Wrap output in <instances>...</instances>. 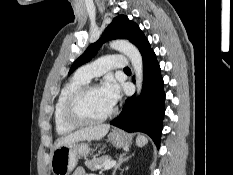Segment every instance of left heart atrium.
Returning a JSON list of instances; mask_svg holds the SVG:
<instances>
[{"mask_svg":"<svg viewBox=\"0 0 233 175\" xmlns=\"http://www.w3.org/2000/svg\"><path fill=\"white\" fill-rule=\"evenodd\" d=\"M100 90L112 107L120 99V87L117 82L111 78L105 80Z\"/></svg>","mask_w":233,"mask_h":175,"instance_id":"obj_1","label":"left heart atrium"}]
</instances>
